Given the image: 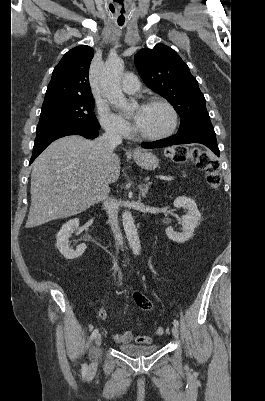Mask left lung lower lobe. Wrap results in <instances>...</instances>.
I'll list each match as a JSON object with an SVG mask.
<instances>
[{"mask_svg":"<svg viewBox=\"0 0 265 401\" xmlns=\"http://www.w3.org/2000/svg\"><path fill=\"white\" fill-rule=\"evenodd\" d=\"M200 143L219 156L216 134L211 121H204L179 130L176 135L150 143H142L143 148H159L177 144Z\"/></svg>","mask_w":265,"mask_h":401,"instance_id":"obj_1","label":"left lung lower lobe"}]
</instances>
